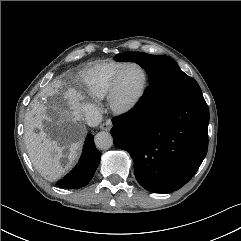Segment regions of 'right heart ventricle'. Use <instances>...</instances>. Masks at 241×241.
<instances>
[{
	"mask_svg": "<svg viewBox=\"0 0 241 241\" xmlns=\"http://www.w3.org/2000/svg\"><path fill=\"white\" fill-rule=\"evenodd\" d=\"M124 64L115 61H100L85 66L79 73V79L87 94L94 99L106 97L112 78Z\"/></svg>",
	"mask_w": 241,
	"mask_h": 241,
	"instance_id": "obj_1",
	"label": "right heart ventricle"
}]
</instances>
